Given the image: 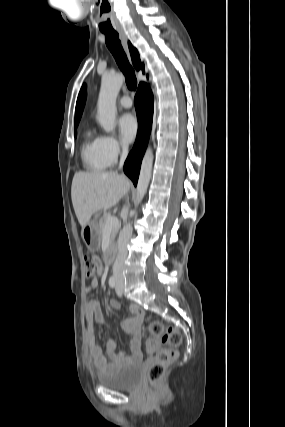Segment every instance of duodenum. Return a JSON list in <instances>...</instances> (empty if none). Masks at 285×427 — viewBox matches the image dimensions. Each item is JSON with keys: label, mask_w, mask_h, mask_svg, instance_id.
I'll return each instance as SVG.
<instances>
[{"label": "duodenum", "mask_w": 285, "mask_h": 427, "mask_svg": "<svg viewBox=\"0 0 285 427\" xmlns=\"http://www.w3.org/2000/svg\"><path fill=\"white\" fill-rule=\"evenodd\" d=\"M116 252H117L116 242H115V241H112V242L108 245L107 250H106V253H105V259H106V261H107L108 263H110V262H112V261L114 260L115 255H116Z\"/></svg>", "instance_id": "obj_1"}]
</instances>
